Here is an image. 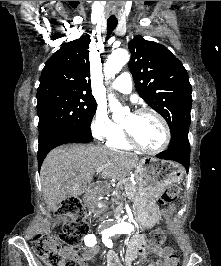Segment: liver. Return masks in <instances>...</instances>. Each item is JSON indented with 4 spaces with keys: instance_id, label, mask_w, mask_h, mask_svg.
<instances>
[{
    "instance_id": "6515ba94",
    "label": "liver",
    "mask_w": 221,
    "mask_h": 266,
    "mask_svg": "<svg viewBox=\"0 0 221 266\" xmlns=\"http://www.w3.org/2000/svg\"><path fill=\"white\" fill-rule=\"evenodd\" d=\"M139 162L133 153L114 151L92 144L63 145L45 158L41 171V185L47 208L55 210L71 191L85 189L91 182L93 170L104 167L103 179L123 180Z\"/></svg>"
}]
</instances>
